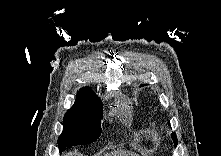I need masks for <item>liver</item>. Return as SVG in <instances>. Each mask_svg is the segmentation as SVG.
Instances as JSON below:
<instances>
[{"mask_svg": "<svg viewBox=\"0 0 221 156\" xmlns=\"http://www.w3.org/2000/svg\"><path fill=\"white\" fill-rule=\"evenodd\" d=\"M66 156H77V154L69 152L66 154ZM106 156H139V155L130 151L119 150V151L111 152L107 154Z\"/></svg>", "mask_w": 221, "mask_h": 156, "instance_id": "1", "label": "liver"}]
</instances>
